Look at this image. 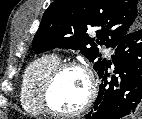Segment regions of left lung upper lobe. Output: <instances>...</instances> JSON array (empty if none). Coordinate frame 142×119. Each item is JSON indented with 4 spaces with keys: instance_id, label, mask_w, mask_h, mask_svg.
I'll return each mask as SVG.
<instances>
[{
    "instance_id": "obj_1",
    "label": "left lung upper lobe",
    "mask_w": 142,
    "mask_h": 119,
    "mask_svg": "<svg viewBox=\"0 0 142 119\" xmlns=\"http://www.w3.org/2000/svg\"><path fill=\"white\" fill-rule=\"evenodd\" d=\"M142 25L138 0H55L45 11L33 39V49L44 52L55 47L80 50L101 73L107 63L97 45L115 47L129 32ZM97 29V40L86 33ZM90 45V47H87Z\"/></svg>"
}]
</instances>
